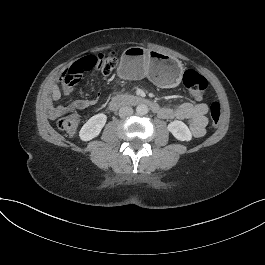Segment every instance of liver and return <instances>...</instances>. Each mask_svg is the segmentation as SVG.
Wrapping results in <instances>:
<instances>
[{
	"instance_id": "obj_1",
	"label": "liver",
	"mask_w": 265,
	"mask_h": 265,
	"mask_svg": "<svg viewBox=\"0 0 265 265\" xmlns=\"http://www.w3.org/2000/svg\"><path fill=\"white\" fill-rule=\"evenodd\" d=\"M50 115H51L50 119L55 120V117L52 115V113H50Z\"/></svg>"
}]
</instances>
